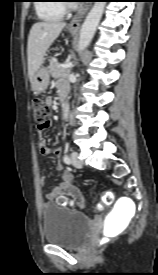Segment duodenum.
I'll return each mask as SVG.
<instances>
[{
  "label": "duodenum",
  "instance_id": "duodenum-1",
  "mask_svg": "<svg viewBox=\"0 0 158 275\" xmlns=\"http://www.w3.org/2000/svg\"><path fill=\"white\" fill-rule=\"evenodd\" d=\"M68 90H69L68 86L67 87H63V88H61L59 90V96H60L61 99H64L67 96Z\"/></svg>",
  "mask_w": 158,
  "mask_h": 275
}]
</instances>
